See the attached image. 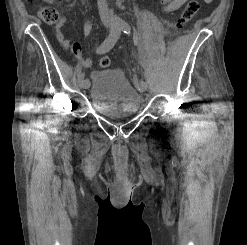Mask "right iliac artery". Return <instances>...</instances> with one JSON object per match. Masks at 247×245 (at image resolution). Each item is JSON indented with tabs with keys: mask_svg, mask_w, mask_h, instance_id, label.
Wrapping results in <instances>:
<instances>
[{
	"mask_svg": "<svg viewBox=\"0 0 247 245\" xmlns=\"http://www.w3.org/2000/svg\"><path fill=\"white\" fill-rule=\"evenodd\" d=\"M121 35V28L118 25L112 26L111 32L109 36L103 41V43L97 48L98 54H104L111 50L117 40L119 39ZM78 81L80 84H82L85 81V75L81 74L78 78Z\"/></svg>",
	"mask_w": 247,
	"mask_h": 245,
	"instance_id": "1",
	"label": "right iliac artery"
}]
</instances>
